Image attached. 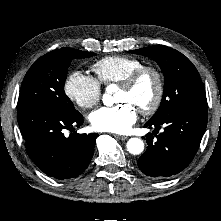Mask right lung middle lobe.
I'll list each match as a JSON object with an SVG mask.
<instances>
[{
	"label": "right lung middle lobe",
	"mask_w": 221,
	"mask_h": 221,
	"mask_svg": "<svg viewBox=\"0 0 221 221\" xmlns=\"http://www.w3.org/2000/svg\"><path fill=\"white\" fill-rule=\"evenodd\" d=\"M93 55L95 53L64 47L39 58L22 82L18 109L29 105H43L66 115L78 114L63 89L67 68L72 59Z\"/></svg>",
	"instance_id": "right-lung-middle-lobe-1"
}]
</instances>
